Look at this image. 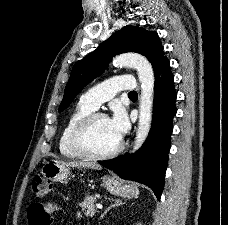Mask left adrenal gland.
Masks as SVG:
<instances>
[{"instance_id": "a2214340", "label": "left adrenal gland", "mask_w": 228, "mask_h": 225, "mask_svg": "<svg viewBox=\"0 0 228 225\" xmlns=\"http://www.w3.org/2000/svg\"><path fill=\"white\" fill-rule=\"evenodd\" d=\"M120 205H125V203H122V201H120V199H115V205H110V207H108V209H106L105 213H103V215H101V219H103L104 215H106V213H108V211H110V209H112V207H120Z\"/></svg>"}]
</instances>
